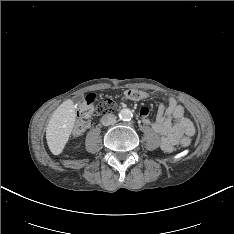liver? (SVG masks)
<instances>
[{
  "label": "liver",
  "mask_w": 234,
  "mask_h": 234,
  "mask_svg": "<svg viewBox=\"0 0 234 234\" xmlns=\"http://www.w3.org/2000/svg\"><path fill=\"white\" fill-rule=\"evenodd\" d=\"M76 120L74 103L64 101L53 113L46 128V140L50 151L58 155L65 147Z\"/></svg>",
  "instance_id": "liver-1"
}]
</instances>
